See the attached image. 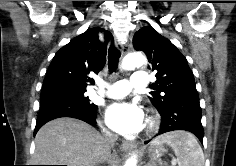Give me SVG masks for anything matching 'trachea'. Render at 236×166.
I'll use <instances>...</instances> for the list:
<instances>
[{
    "label": "trachea",
    "mask_w": 236,
    "mask_h": 166,
    "mask_svg": "<svg viewBox=\"0 0 236 166\" xmlns=\"http://www.w3.org/2000/svg\"><path fill=\"white\" fill-rule=\"evenodd\" d=\"M121 54L119 50H117L115 47H111L108 51V67L110 72L116 71L118 67V62Z\"/></svg>",
    "instance_id": "1"
}]
</instances>
